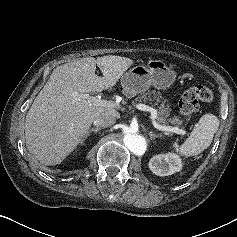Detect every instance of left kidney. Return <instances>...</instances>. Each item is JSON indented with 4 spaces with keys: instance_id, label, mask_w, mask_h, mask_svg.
<instances>
[{
    "instance_id": "left-kidney-1",
    "label": "left kidney",
    "mask_w": 237,
    "mask_h": 237,
    "mask_svg": "<svg viewBox=\"0 0 237 237\" xmlns=\"http://www.w3.org/2000/svg\"><path fill=\"white\" fill-rule=\"evenodd\" d=\"M149 168L158 176H168L182 170V162L174 153L160 154L150 159Z\"/></svg>"
}]
</instances>
